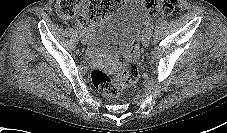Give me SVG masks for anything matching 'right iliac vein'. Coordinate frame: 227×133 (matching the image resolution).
<instances>
[{"mask_svg":"<svg viewBox=\"0 0 227 133\" xmlns=\"http://www.w3.org/2000/svg\"><path fill=\"white\" fill-rule=\"evenodd\" d=\"M79 38H80L82 44H87V37L85 36L84 33H80Z\"/></svg>","mask_w":227,"mask_h":133,"instance_id":"obj_1","label":"right iliac vein"}]
</instances>
